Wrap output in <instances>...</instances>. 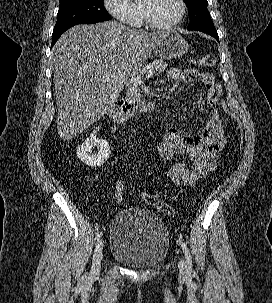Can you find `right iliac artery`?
Returning a JSON list of instances; mask_svg holds the SVG:
<instances>
[{
    "mask_svg": "<svg viewBox=\"0 0 272 303\" xmlns=\"http://www.w3.org/2000/svg\"><path fill=\"white\" fill-rule=\"evenodd\" d=\"M102 236V232H97L96 236H95V241L98 242L99 239L101 238Z\"/></svg>",
    "mask_w": 272,
    "mask_h": 303,
    "instance_id": "82829eb1",
    "label": "right iliac artery"
}]
</instances>
